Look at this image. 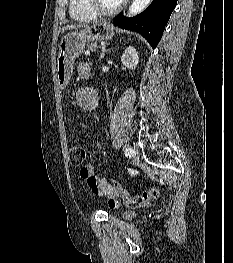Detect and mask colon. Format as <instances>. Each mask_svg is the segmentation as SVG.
Here are the masks:
<instances>
[{
  "instance_id": "obj_1",
  "label": "colon",
  "mask_w": 233,
  "mask_h": 263,
  "mask_svg": "<svg viewBox=\"0 0 233 263\" xmlns=\"http://www.w3.org/2000/svg\"><path fill=\"white\" fill-rule=\"evenodd\" d=\"M69 154L70 162L73 166H82L84 164L86 151L83 147L73 146L70 148ZM85 176H87L90 183L93 184L95 182V179L91 176H88L87 173H85ZM110 185L117 192L118 196L121 197L123 204L127 207H141L146 205L150 200L158 199L160 197V191L158 189H150L142 192L137 196L131 197L121 188L120 184L116 181H113Z\"/></svg>"
}]
</instances>
